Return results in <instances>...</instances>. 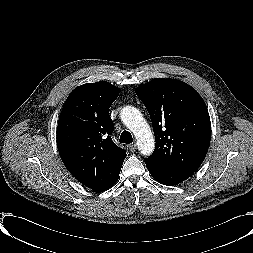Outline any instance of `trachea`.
<instances>
[{
  "instance_id": "obj_1",
  "label": "trachea",
  "mask_w": 253,
  "mask_h": 253,
  "mask_svg": "<svg viewBox=\"0 0 253 253\" xmlns=\"http://www.w3.org/2000/svg\"><path fill=\"white\" fill-rule=\"evenodd\" d=\"M119 141H120L121 143H125V144H130V143H132V142H133V138H132L131 133L128 132V131H123V132L121 133V136H120Z\"/></svg>"
}]
</instances>
